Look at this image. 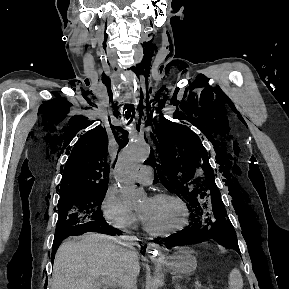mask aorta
Returning <instances> with one entry per match:
<instances>
[{
  "instance_id": "aorta-1",
  "label": "aorta",
  "mask_w": 289,
  "mask_h": 289,
  "mask_svg": "<svg viewBox=\"0 0 289 289\" xmlns=\"http://www.w3.org/2000/svg\"><path fill=\"white\" fill-rule=\"evenodd\" d=\"M150 155L149 146L142 140L132 139L119 153L116 164V179L120 191L128 206L138 207L147 197L146 193L136 187L132 176L147 161Z\"/></svg>"
}]
</instances>
